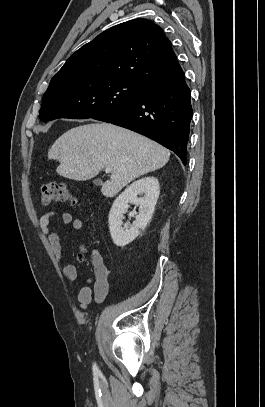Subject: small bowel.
Returning <instances> with one entry per match:
<instances>
[{
  "instance_id": "1",
  "label": "small bowel",
  "mask_w": 265,
  "mask_h": 407,
  "mask_svg": "<svg viewBox=\"0 0 265 407\" xmlns=\"http://www.w3.org/2000/svg\"><path fill=\"white\" fill-rule=\"evenodd\" d=\"M57 215L55 210L44 212L38 219L39 227L42 234L47 238L51 251L59 263H64L63 273L66 279L74 283L77 279L78 272L75 265L67 263V254L63 250L58 234L52 230L51 219ZM61 221L65 225H71L74 230L82 229L84 222L81 218H74L72 214L65 212L61 214ZM93 277L87 279V283L78 292V302L82 309H86L92 299L96 302H102L109 290L108 275L109 271L99 253L93 254L92 259Z\"/></svg>"
}]
</instances>
